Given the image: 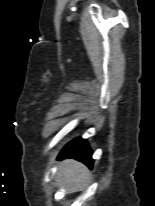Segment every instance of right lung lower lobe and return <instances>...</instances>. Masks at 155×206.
<instances>
[{"mask_svg": "<svg viewBox=\"0 0 155 206\" xmlns=\"http://www.w3.org/2000/svg\"><path fill=\"white\" fill-rule=\"evenodd\" d=\"M92 152L89 149L87 141L82 138L74 139L69 142L59 154L58 159L62 158H76L79 161L87 164L89 167L93 166Z\"/></svg>", "mask_w": 155, "mask_h": 206, "instance_id": "right-lung-lower-lobe-1", "label": "right lung lower lobe"}]
</instances>
